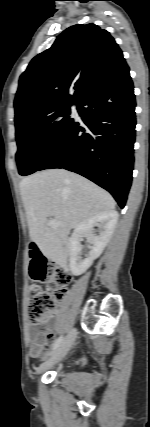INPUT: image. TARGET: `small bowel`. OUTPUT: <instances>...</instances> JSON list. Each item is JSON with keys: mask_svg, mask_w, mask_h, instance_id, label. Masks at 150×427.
Listing matches in <instances>:
<instances>
[{"mask_svg": "<svg viewBox=\"0 0 150 427\" xmlns=\"http://www.w3.org/2000/svg\"><path fill=\"white\" fill-rule=\"evenodd\" d=\"M52 337V326L48 325L45 329H33L29 334V355L32 358L40 357L46 350Z\"/></svg>", "mask_w": 150, "mask_h": 427, "instance_id": "1", "label": "small bowel"}]
</instances>
